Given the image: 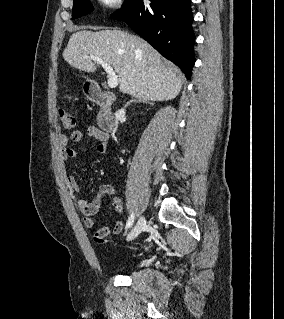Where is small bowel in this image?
I'll list each match as a JSON object with an SVG mask.
<instances>
[{
	"instance_id": "small-bowel-1",
	"label": "small bowel",
	"mask_w": 284,
	"mask_h": 319,
	"mask_svg": "<svg viewBox=\"0 0 284 319\" xmlns=\"http://www.w3.org/2000/svg\"><path fill=\"white\" fill-rule=\"evenodd\" d=\"M89 137L97 141L96 151L100 154H104L107 149V133L95 126H90L87 130ZM84 133L82 131H74L69 136H61L60 144L62 146V157L65 162H68L77 157V152L73 148L69 147L71 143L79 142L82 140ZM67 185L72 193H79L80 187L76 179L69 176L67 179ZM112 197V204L116 212H122L123 203L121 198L117 195L116 190L111 185H102L98 193L92 201L85 198H79L77 200V207L83 215V222L87 228H93L96 224L94 216L98 213L102 200L105 196ZM123 222L117 220L114 224L103 226L95 231L94 238L105 239L110 233L118 234L123 230Z\"/></svg>"
}]
</instances>
